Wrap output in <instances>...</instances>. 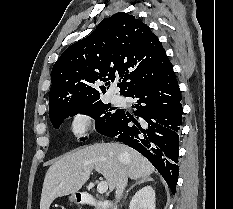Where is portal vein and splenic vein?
<instances>
[{
  "mask_svg": "<svg viewBox=\"0 0 233 209\" xmlns=\"http://www.w3.org/2000/svg\"><path fill=\"white\" fill-rule=\"evenodd\" d=\"M108 190V184L106 181H100V183L97 186V191L99 194H104Z\"/></svg>",
  "mask_w": 233,
  "mask_h": 209,
  "instance_id": "1",
  "label": "portal vein and splenic vein"
}]
</instances>
